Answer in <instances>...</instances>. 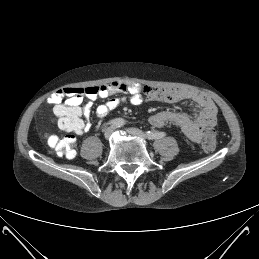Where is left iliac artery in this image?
I'll list each match as a JSON object with an SVG mask.
<instances>
[{
    "mask_svg": "<svg viewBox=\"0 0 259 259\" xmlns=\"http://www.w3.org/2000/svg\"><path fill=\"white\" fill-rule=\"evenodd\" d=\"M147 132L153 133L155 135L156 139H161L166 136L165 132H159V131H147Z\"/></svg>",
    "mask_w": 259,
    "mask_h": 259,
    "instance_id": "44dca946",
    "label": "left iliac artery"
}]
</instances>
